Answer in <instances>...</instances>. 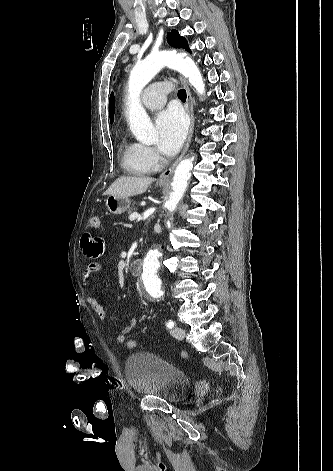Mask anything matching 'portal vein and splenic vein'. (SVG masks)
I'll return each instance as SVG.
<instances>
[{"label": "portal vein and splenic vein", "mask_w": 333, "mask_h": 471, "mask_svg": "<svg viewBox=\"0 0 333 471\" xmlns=\"http://www.w3.org/2000/svg\"><path fill=\"white\" fill-rule=\"evenodd\" d=\"M139 216H140V214H139L138 212H134V213H132V214L129 216V220H130V221H133V220H135V219H136L137 217H139Z\"/></svg>", "instance_id": "1"}]
</instances>
